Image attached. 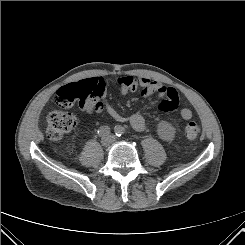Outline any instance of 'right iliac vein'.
<instances>
[{
  "label": "right iliac vein",
  "instance_id": "1",
  "mask_svg": "<svg viewBox=\"0 0 245 245\" xmlns=\"http://www.w3.org/2000/svg\"><path fill=\"white\" fill-rule=\"evenodd\" d=\"M110 143H111L110 137H104V138H102V140H101V144H102V146H104V147H108V146L110 145Z\"/></svg>",
  "mask_w": 245,
  "mask_h": 245
}]
</instances>
